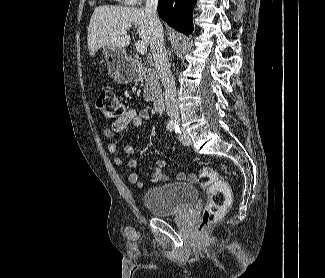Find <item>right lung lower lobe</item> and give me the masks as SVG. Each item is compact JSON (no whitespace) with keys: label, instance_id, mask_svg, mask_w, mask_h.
Masks as SVG:
<instances>
[{"label":"right lung lower lobe","instance_id":"obj_1","mask_svg":"<svg viewBox=\"0 0 325 278\" xmlns=\"http://www.w3.org/2000/svg\"><path fill=\"white\" fill-rule=\"evenodd\" d=\"M196 0H159L158 14L171 27L190 34L193 31L192 11Z\"/></svg>","mask_w":325,"mask_h":278}]
</instances>
